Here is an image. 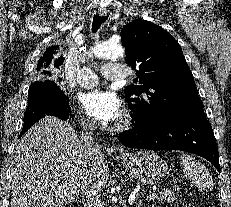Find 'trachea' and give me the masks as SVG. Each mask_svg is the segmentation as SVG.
<instances>
[{"label": "trachea", "mask_w": 231, "mask_h": 207, "mask_svg": "<svg viewBox=\"0 0 231 207\" xmlns=\"http://www.w3.org/2000/svg\"><path fill=\"white\" fill-rule=\"evenodd\" d=\"M108 19V16L95 15L92 22V32L96 33L101 25Z\"/></svg>", "instance_id": "obj_1"}]
</instances>
